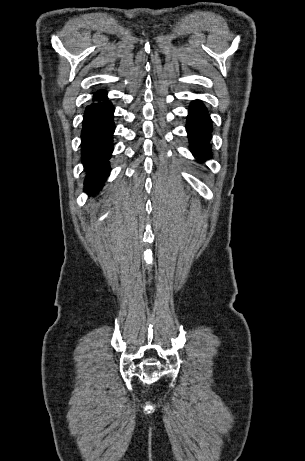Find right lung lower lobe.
<instances>
[{
	"label": "right lung lower lobe",
	"instance_id": "right-lung-lower-lobe-1",
	"mask_svg": "<svg viewBox=\"0 0 305 461\" xmlns=\"http://www.w3.org/2000/svg\"><path fill=\"white\" fill-rule=\"evenodd\" d=\"M94 103L86 107L81 133L82 162L86 172L84 190L95 195L110 173L109 159L113 151L114 108L106 91L94 95Z\"/></svg>",
	"mask_w": 305,
	"mask_h": 461
}]
</instances>
